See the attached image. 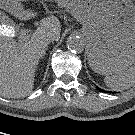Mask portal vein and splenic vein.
Here are the masks:
<instances>
[{"instance_id": "1", "label": "portal vein and splenic vein", "mask_w": 135, "mask_h": 135, "mask_svg": "<svg viewBox=\"0 0 135 135\" xmlns=\"http://www.w3.org/2000/svg\"><path fill=\"white\" fill-rule=\"evenodd\" d=\"M28 32L29 31L27 29L21 30L19 37H21V38L28 37ZM0 35H6V36H9V37H14L15 32L11 27L7 26V27L0 28Z\"/></svg>"}]
</instances>
